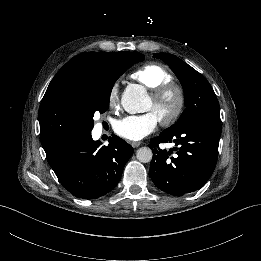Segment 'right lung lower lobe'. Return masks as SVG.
<instances>
[{"instance_id": "98d812e1", "label": "right lung lower lobe", "mask_w": 261, "mask_h": 261, "mask_svg": "<svg viewBox=\"0 0 261 261\" xmlns=\"http://www.w3.org/2000/svg\"><path fill=\"white\" fill-rule=\"evenodd\" d=\"M101 144L90 132L47 155L62 186L77 198L97 199L110 192L133 154V148L116 135L109 137L108 146Z\"/></svg>"}]
</instances>
